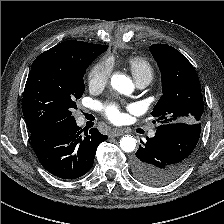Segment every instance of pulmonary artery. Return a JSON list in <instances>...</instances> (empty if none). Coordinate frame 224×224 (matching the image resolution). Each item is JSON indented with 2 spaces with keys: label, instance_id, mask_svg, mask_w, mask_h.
<instances>
[{
  "label": "pulmonary artery",
  "instance_id": "pulmonary-artery-1",
  "mask_svg": "<svg viewBox=\"0 0 224 224\" xmlns=\"http://www.w3.org/2000/svg\"><path fill=\"white\" fill-rule=\"evenodd\" d=\"M149 80H141V81H136L138 88H144L149 84ZM150 137H154V132L149 133Z\"/></svg>",
  "mask_w": 224,
  "mask_h": 224
}]
</instances>
